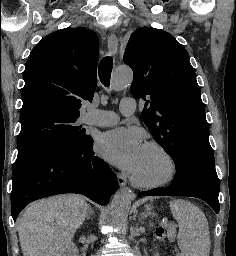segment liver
Here are the masks:
<instances>
[{
    "label": "liver",
    "instance_id": "obj_1",
    "mask_svg": "<svg viewBox=\"0 0 236 256\" xmlns=\"http://www.w3.org/2000/svg\"><path fill=\"white\" fill-rule=\"evenodd\" d=\"M91 210L81 196H54L33 202L19 216L23 256H67L72 238Z\"/></svg>",
    "mask_w": 236,
    "mask_h": 256
}]
</instances>
